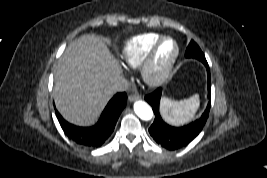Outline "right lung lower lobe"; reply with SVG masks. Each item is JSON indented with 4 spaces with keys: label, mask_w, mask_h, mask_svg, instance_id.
<instances>
[{
    "label": "right lung lower lobe",
    "mask_w": 267,
    "mask_h": 178,
    "mask_svg": "<svg viewBox=\"0 0 267 178\" xmlns=\"http://www.w3.org/2000/svg\"><path fill=\"white\" fill-rule=\"evenodd\" d=\"M126 93L116 94L107 104L99 121L91 127H79L70 124L56 111L57 118L64 133L77 144L96 148L104 144L114 131L116 122L126 106Z\"/></svg>",
    "instance_id": "right-lung-lower-lobe-1"
}]
</instances>
